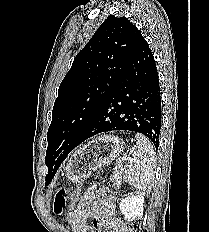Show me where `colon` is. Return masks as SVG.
Segmentation results:
<instances>
[{
    "mask_svg": "<svg viewBox=\"0 0 209 232\" xmlns=\"http://www.w3.org/2000/svg\"><path fill=\"white\" fill-rule=\"evenodd\" d=\"M77 195L74 193L71 195V202H74ZM67 202L66 192L63 189H57L52 199V210L55 214H61L64 211ZM129 232H140L138 225L135 221L130 222Z\"/></svg>",
    "mask_w": 209,
    "mask_h": 232,
    "instance_id": "obj_1",
    "label": "colon"
}]
</instances>
